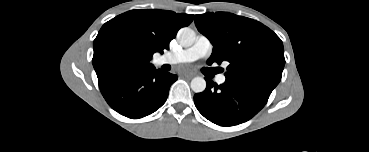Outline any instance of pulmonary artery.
<instances>
[{"label":"pulmonary artery","instance_id":"obj_1","mask_svg":"<svg viewBox=\"0 0 369 152\" xmlns=\"http://www.w3.org/2000/svg\"><path fill=\"white\" fill-rule=\"evenodd\" d=\"M212 52V44L210 40L200 35L193 46L174 53H167L160 58L161 63L177 64L192 62L199 58L209 56ZM226 80L225 75L220 74L217 76L216 81L219 84H223Z\"/></svg>","mask_w":369,"mask_h":152}]
</instances>
